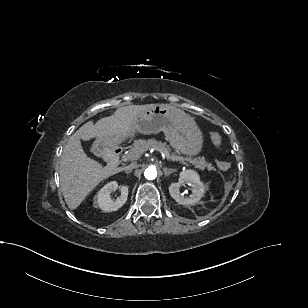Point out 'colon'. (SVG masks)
<instances>
[{
    "label": "colon",
    "mask_w": 308,
    "mask_h": 308,
    "mask_svg": "<svg viewBox=\"0 0 308 308\" xmlns=\"http://www.w3.org/2000/svg\"><path fill=\"white\" fill-rule=\"evenodd\" d=\"M210 138L216 147L221 146L222 138L218 133L211 132ZM216 163H217L218 168L221 170H228L231 167V163L224 159H217Z\"/></svg>",
    "instance_id": "colon-1"
}]
</instances>
